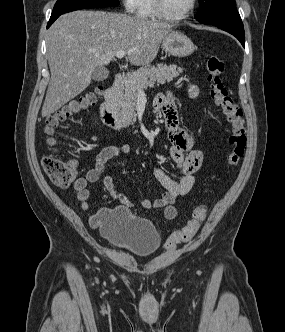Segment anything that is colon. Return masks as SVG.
<instances>
[{
    "mask_svg": "<svg viewBox=\"0 0 285 332\" xmlns=\"http://www.w3.org/2000/svg\"><path fill=\"white\" fill-rule=\"evenodd\" d=\"M205 67L211 99L230 127V148L226 155V163L229 167L234 168L238 166L244 155L247 141L242 110L234 102L221 79L225 68L223 60L217 56H211L206 60ZM100 93L101 88H97L71 100L60 110L48 116L45 122L48 144L51 146L55 144V130L61 124L95 105ZM42 167L51 182L57 187L67 188L77 179V166L74 161H65L56 156H45L42 159ZM206 216L207 206L205 204L197 205L188 222L182 228L169 234L165 243L166 249L174 250L178 244L190 241L199 231Z\"/></svg>",
    "mask_w": 285,
    "mask_h": 332,
    "instance_id": "5ec220e1",
    "label": "colon"
}]
</instances>
